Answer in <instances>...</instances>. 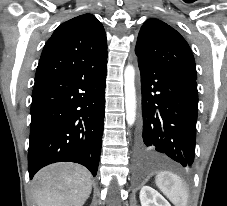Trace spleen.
<instances>
[{
  "label": "spleen",
  "instance_id": "obj_1",
  "mask_svg": "<svg viewBox=\"0 0 227 206\" xmlns=\"http://www.w3.org/2000/svg\"><path fill=\"white\" fill-rule=\"evenodd\" d=\"M155 182L162 193L175 206H187L188 191L178 175L168 171H161L158 173Z\"/></svg>",
  "mask_w": 227,
  "mask_h": 206
}]
</instances>
